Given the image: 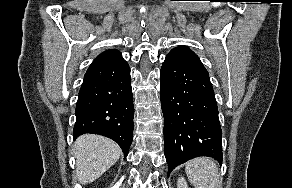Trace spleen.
<instances>
[{"label":"spleen","mask_w":292,"mask_h":188,"mask_svg":"<svg viewBox=\"0 0 292 188\" xmlns=\"http://www.w3.org/2000/svg\"><path fill=\"white\" fill-rule=\"evenodd\" d=\"M185 171L194 188H222L218 167L208 157L188 161Z\"/></svg>","instance_id":"1"}]
</instances>
